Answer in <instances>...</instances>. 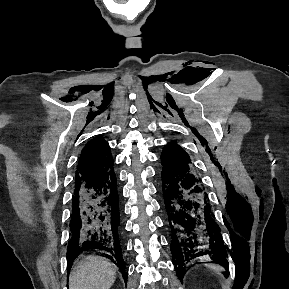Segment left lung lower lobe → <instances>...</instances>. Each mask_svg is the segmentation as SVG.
Wrapping results in <instances>:
<instances>
[{"label":"left lung lower lobe","mask_w":289,"mask_h":289,"mask_svg":"<svg viewBox=\"0 0 289 289\" xmlns=\"http://www.w3.org/2000/svg\"><path fill=\"white\" fill-rule=\"evenodd\" d=\"M160 159L163 198L172 233L171 252L182 281L185 263L212 252L224 255L226 250L208 194L190 158L163 149Z\"/></svg>","instance_id":"obj_1"}]
</instances>
